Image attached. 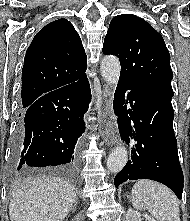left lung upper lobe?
I'll use <instances>...</instances> for the list:
<instances>
[{
	"label": "left lung upper lobe",
	"mask_w": 190,
	"mask_h": 221,
	"mask_svg": "<svg viewBox=\"0 0 190 221\" xmlns=\"http://www.w3.org/2000/svg\"><path fill=\"white\" fill-rule=\"evenodd\" d=\"M102 51L119 58V80L173 96L169 51L162 36L145 20L132 14L114 17Z\"/></svg>",
	"instance_id": "obj_1"
}]
</instances>
